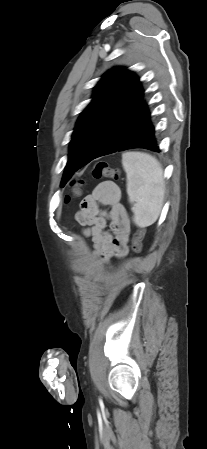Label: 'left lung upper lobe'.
<instances>
[{
	"label": "left lung upper lobe",
	"mask_w": 207,
	"mask_h": 449,
	"mask_svg": "<svg viewBox=\"0 0 207 449\" xmlns=\"http://www.w3.org/2000/svg\"><path fill=\"white\" fill-rule=\"evenodd\" d=\"M142 101L141 84L132 72L115 67L103 75L91 103L77 122L61 187L74 172L94 159L113 128Z\"/></svg>",
	"instance_id": "obj_1"
}]
</instances>
